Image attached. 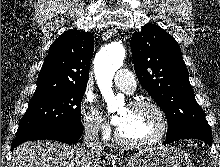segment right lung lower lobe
<instances>
[{
    "instance_id": "right-lung-lower-lobe-1",
    "label": "right lung lower lobe",
    "mask_w": 220,
    "mask_h": 167,
    "mask_svg": "<svg viewBox=\"0 0 220 167\" xmlns=\"http://www.w3.org/2000/svg\"><path fill=\"white\" fill-rule=\"evenodd\" d=\"M83 133V126L81 128L76 129H65L60 131H42L37 134L17 137L11 144V150H13L18 145L24 143L25 141L31 140H57L64 143H75L78 139H80Z\"/></svg>"
}]
</instances>
